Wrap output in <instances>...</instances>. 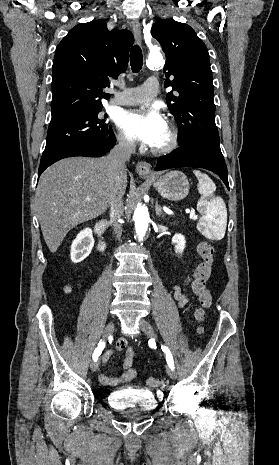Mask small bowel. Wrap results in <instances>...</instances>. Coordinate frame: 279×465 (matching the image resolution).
<instances>
[{"instance_id": "1", "label": "small bowel", "mask_w": 279, "mask_h": 465, "mask_svg": "<svg viewBox=\"0 0 279 465\" xmlns=\"http://www.w3.org/2000/svg\"><path fill=\"white\" fill-rule=\"evenodd\" d=\"M175 290V297L178 301V306L183 307L185 306L189 298L187 295L182 294L180 288L178 286L174 287ZM125 352V356L122 362V367L124 369V373L120 377H109L105 373H101L99 375L100 382L105 386H117L126 383L132 382L136 376V370L132 367L133 361L136 357V352L132 346H130L125 338H120L116 341L115 348L113 350H109L105 352L102 356V360L104 363H107L109 359L115 352Z\"/></svg>"}]
</instances>
